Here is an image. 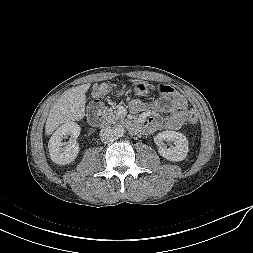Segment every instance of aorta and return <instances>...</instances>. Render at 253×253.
I'll return each mask as SVG.
<instances>
[{"label":"aorta","instance_id":"obj_1","mask_svg":"<svg viewBox=\"0 0 253 253\" xmlns=\"http://www.w3.org/2000/svg\"><path fill=\"white\" fill-rule=\"evenodd\" d=\"M113 131L114 136L116 137H123L125 134V129L122 125H117L116 127H114Z\"/></svg>","mask_w":253,"mask_h":253}]
</instances>
